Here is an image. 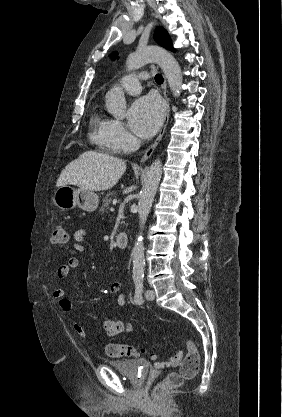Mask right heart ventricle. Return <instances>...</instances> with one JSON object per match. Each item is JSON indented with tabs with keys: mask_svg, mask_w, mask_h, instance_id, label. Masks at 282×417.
I'll list each match as a JSON object with an SVG mask.
<instances>
[{
	"mask_svg": "<svg viewBox=\"0 0 282 417\" xmlns=\"http://www.w3.org/2000/svg\"><path fill=\"white\" fill-rule=\"evenodd\" d=\"M92 132L90 137L93 142L108 150H116L113 142L115 120L100 112H96L91 119Z\"/></svg>",
	"mask_w": 282,
	"mask_h": 417,
	"instance_id": "obj_1",
	"label": "right heart ventricle"
}]
</instances>
